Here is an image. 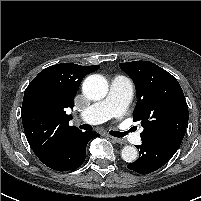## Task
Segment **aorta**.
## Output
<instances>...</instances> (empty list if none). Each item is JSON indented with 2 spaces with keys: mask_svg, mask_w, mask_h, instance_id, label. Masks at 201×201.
I'll return each instance as SVG.
<instances>
[{
  "mask_svg": "<svg viewBox=\"0 0 201 201\" xmlns=\"http://www.w3.org/2000/svg\"><path fill=\"white\" fill-rule=\"evenodd\" d=\"M82 91L88 99L98 101L107 95L108 83L101 75H90L84 80ZM121 157L128 163L134 162L138 157L137 149L133 146H125L121 151Z\"/></svg>",
  "mask_w": 201,
  "mask_h": 201,
  "instance_id": "762f6f07",
  "label": "aorta"
}]
</instances>
